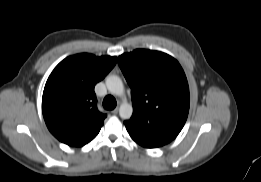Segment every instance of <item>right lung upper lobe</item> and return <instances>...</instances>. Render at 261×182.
I'll return each mask as SVG.
<instances>
[{
    "mask_svg": "<svg viewBox=\"0 0 261 182\" xmlns=\"http://www.w3.org/2000/svg\"><path fill=\"white\" fill-rule=\"evenodd\" d=\"M116 61L117 57L82 53L64 59L52 71L43 91L42 112L59 141L81 147L99 133L106 115L97 109L94 87Z\"/></svg>",
    "mask_w": 261,
    "mask_h": 182,
    "instance_id": "1",
    "label": "right lung upper lobe"
}]
</instances>
